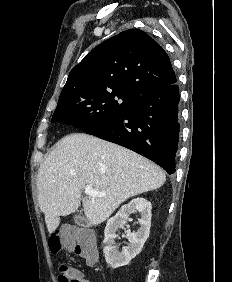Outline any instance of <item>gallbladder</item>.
Wrapping results in <instances>:
<instances>
[{"label":"gallbladder","mask_w":232,"mask_h":282,"mask_svg":"<svg viewBox=\"0 0 232 282\" xmlns=\"http://www.w3.org/2000/svg\"><path fill=\"white\" fill-rule=\"evenodd\" d=\"M74 222L77 224V225H84L86 223V219L84 218V216H82L81 213H77L75 216H74Z\"/></svg>","instance_id":"gallbladder-1"}]
</instances>
